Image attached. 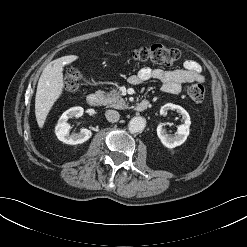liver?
I'll return each instance as SVG.
<instances>
[{
    "mask_svg": "<svg viewBox=\"0 0 247 247\" xmlns=\"http://www.w3.org/2000/svg\"><path fill=\"white\" fill-rule=\"evenodd\" d=\"M78 59L67 55L50 62L43 70L37 85L35 115L38 126L43 127L49 111L63 92V67Z\"/></svg>",
    "mask_w": 247,
    "mask_h": 247,
    "instance_id": "1",
    "label": "liver"
}]
</instances>
